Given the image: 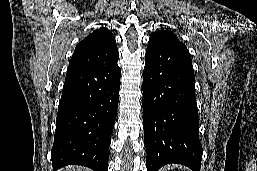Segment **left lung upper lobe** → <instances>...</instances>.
<instances>
[{
	"label": "left lung upper lobe",
	"instance_id": "5c2ea615",
	"mask_svg": "<svg viewBox=\"0 0 257 171\" xmlns=\"http://www.w3.org/2000/svg\"><path fill=\"white\" fill-rule=\"evenodd\" d=\"M169 49L186 53H190L186 46L180 42L177 36L169 30H161L155 32L149 39L147 50Z\"/></svg>",
	"mask_w": 257,
	"mask_h": 171
}]
</instances>
